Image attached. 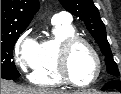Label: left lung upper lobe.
<instances>
[{"label": "left lung upper lobe", "instance_id": "1", "mask_svg": "<svg viewBox=\"0 0 121 94\" xmlns=\"http://www.w3.org/2000/svg\"><path fill=\"white\" fill-rule=\"evenodd\" d=\"M62 6L71 14L83 21L98 43L102 54L105 56L107 72L114 76H120L118 67L106 37V29L100 18L99 11L92 0H59Z\"/></svg>", "mask_w": 121, "mask_h": 94}]
</instances>
